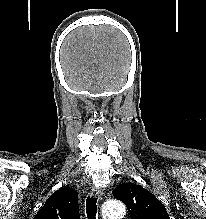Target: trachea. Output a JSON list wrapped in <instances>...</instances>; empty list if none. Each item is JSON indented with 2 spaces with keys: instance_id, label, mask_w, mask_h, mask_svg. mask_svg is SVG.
I'll return each mask as SVG.
<instances>
[{
  "instance_id": "trachea-1",
  "label": "trachea",
  "mask_w": 206,
  "mask_h": 219,
  "mask_svg": "<svg viewBox=\"0 0 206 219\" xmlns=\"http://www.w3.org/2000/svg\"><path fill=\"white\" fill-rule=\"evenodd\" d=\"M86 213L88 219H96L97 214V197H87L86 200Z\"/></svg>"
}]
</instances>
